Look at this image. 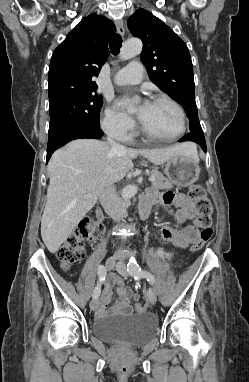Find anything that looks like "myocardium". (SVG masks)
Here are the masks:
<instances>
[{"label":"myocardium","instance_id":"obj_1","mask_svg":"<svg viewBox=\"0 0 249 382\" xmlns=\"http://www.w3.org/2000/svg\"><path fill=\"white\" fill-rule=\"evenodd\" d=\"M152 102H167L170 105H172L176 109L178 114H179V118H180V130L174 136H171V137H161V136H157V135L153 134L152 132H150L141 123L140 124L141 132L146 137H148L150 139H153V140H156V141H160V142H173V141H176L177 139H179L184 134V132L186 130V115H185V112H184V109L182 108V106L177 101H175L174 99H172L171 97L166 96V95H157V96H155L152 99Z\"/></svg>","mask_w":249,"mask_h":382}]
</instances>
